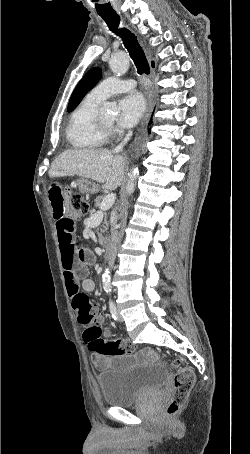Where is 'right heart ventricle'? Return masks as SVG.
Returning <instances> with one entry per match:
<instances>
[{
	"mask_svg": "<svg viewBox=\"0 0 250 454\" xmlns=\"http://www.w3.org/2000/svg\"><path fill=\"white\" fill-rule=\"evenodd\" d=\"M101 101L87 96L73 110L66 129V138L74 149L90 150L105 142L96 126V116Z\"/></svg>",
	"mask_w": 250,
	"mask_h": 454,
	"instance_id": "obj_1",
	"label": "right heart ventricle"
}]
</instances>
